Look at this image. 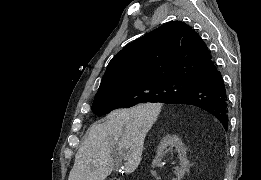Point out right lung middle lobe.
Masks as SVG:
<instances>
[{
  "mask_svg": "<svg viewBox=\"0 0 261 180\" xmlns=\"http://www.w3.org/2000/svg\"><path fill=\"white\" fill-rule=\"evenodd\" d=\"M195 86V82L185 80H162L122 88L95 97L92 111L96 115H105L117 108H129L143 102H161L186 93Z\"/></svg>",
  "mask_w": 261,
  "mask_h": 180,
  "instance_id": "1",
  "label": "right lung middle lobe"
}]
</instances>
